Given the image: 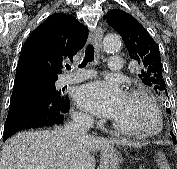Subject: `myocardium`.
Here are the masks:
<instances>
[{"label":"myocardium","instance_id":"f54148a6","mask_svg":"<svg viewBox=\"0 0 177 169\" xmlns=\"http://www.w3.org/2000/svg\"><path fill=\"white\" fill-rule=\"evenodd\" d=\"M125 96L138 97V98L143 99L153 111L155 115L156 124H155V127L151 130L131 131V130L124 128L119 123H117L114 119H112L111 123L114 129L118 133L124 136L136 137V138H149V137H153L159 134L163 128V116H162V112L160 108L155 103V101L152 99V97L145 90L138 89V88H132V89L127 90L125 93Z\"/></svg>","mask_w":177,"mask_h":169}]
</instances>
